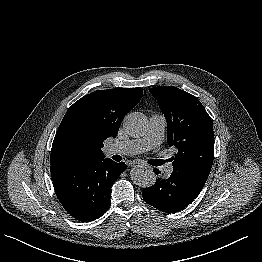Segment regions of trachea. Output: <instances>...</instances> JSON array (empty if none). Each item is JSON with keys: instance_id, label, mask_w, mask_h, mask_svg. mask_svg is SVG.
Here are the masks:
<instances>
[{"instance_id": "3493384b", "label": "trachea", "mask_w": 262, "mask_h": 262, "mask_svg": "<svg viewBox=\"0 0 262 262\" xmlns=\"http://www.w3.org/2000/svg\"><path fill=\"white\" fill-rule=\"evenodd\" d=\"M165 162V160H151L149 161V164L153 166H160Z\"/></svg>"}]
</instances>
